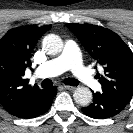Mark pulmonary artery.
Masks as SVG:
<instances>
[{
    "label": "pulmonary artery",
    "mask_w": 133,
    "mask_h": 133,
    "mask_svg": "<svg viewBox=\"0 0 133 133\" xmlns=\"http://www.w3.org/2000/svg\"><path fill=\"white\" fill-rule=\"evenodd\" d=\"M71 70L84 84L99 89L100 84L91 71L83 65L79 48L73 40H67L62 52L55 58L43 63L36 69V76L40 78L54 77Z\"/></svg>",
    "instance_id": "1"
}]
</instances>
